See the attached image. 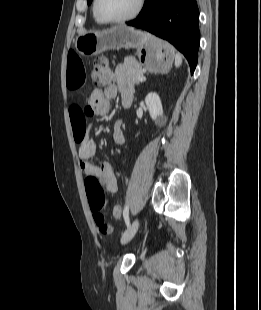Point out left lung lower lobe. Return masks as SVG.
<instances>
[{"mask_svg":"<svg viewBox=\"0 0 261 310\" xmlns=\"http://www.w3.org/2000/svg\"><path fill=\"white\" fill-rule=\"evenodd\" d=\"M198 20L196 0H145L138 17L127 24L173 44L187 58L193 74L200 40Z\"/></svg>","mask_w":261,"mask_h":310,"instance_id":"obj_1","label":"left lung lower lobe"}]
</instances>
